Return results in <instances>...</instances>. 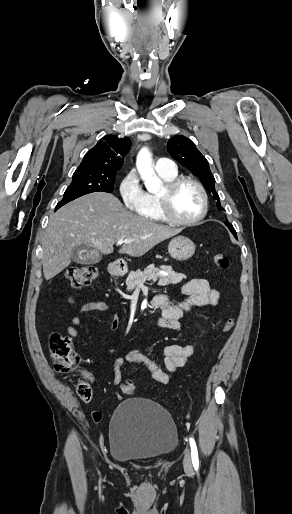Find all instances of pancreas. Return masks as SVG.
I'll return each mask as SVG.
<instances>
[{"label": "pancreas", "mask_w": 292, "mask_h": 514, "mask_svg": "<svg viewBox=\"0 0 292 514\" xmlns=\"http://www.w3.org/2000/svg\"><path fill=\"white\" fill-rule=\"evenodd\" d=\"M160 272H166L168 276H162ZM184 278H186L184 274H176V272H173L171 266L154 268V264H150L143 272H141V270L130 272L129 276H127L126 286L128 292H131V290H135L136 286L145 284L146 280H153V282H157L158 280V286H168V284H179Z\"/></svg>", "instance_id": "obj_1"}]
</instances>
